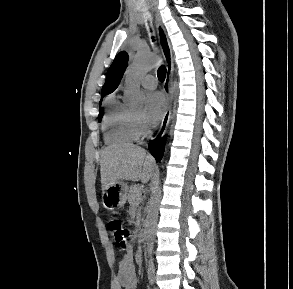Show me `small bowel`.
<instances>
[{
  "label": "small bowel",
  "mask_w": 293,
  "mask_h": 289,
  "mask_svg": "<svg viewBox=\"0 0 293 289\" xmlns=\"http://www.w3.org/2000/svg\"><path fill=\"white\" fill-rule=\"evenodd\" d=\"M137 283L134 253L132 249H129L123 254L119 262L117 277L112 289H136Z\"/></svg>",
  "instance_id": "small-bowel-1"
}]
</instances>
